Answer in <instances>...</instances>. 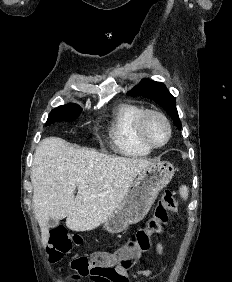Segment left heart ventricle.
<instances>
[{"instance_id":"b2bd125f","label":"left heart ventricle","mask_w":232,"mask_h":282,"mask_svg":"<svg viewBox=\"0 0 232 282\" xmlns=\"http://www.w3.org/2000/svg\"><path fill=\"white\" fill-rule=\"evenodd\" d=\"M146 135L155 144L164 142L167 137V128L164 122L157 117H150L146 123Z\"/></svg>"}]
</instances>
